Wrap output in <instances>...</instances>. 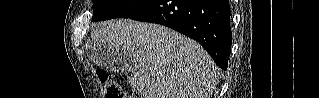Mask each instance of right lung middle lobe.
Masks as SVG:
<instances>
[{
	"instance_id": "obj_1",
	"label": "right lung middle lobe",
	"mask_w": 319,
	"mask_h": 98,
	"mask_svg": "<svg viewBox=\"0 0 319 98\" xmlns=\"http://www.w3.org/2000/svg\"><path fill=\"white\" fill-rule=\"evenodd\" d=\"M146 0H93V21L118 18Z\"/></svg>"
}]
</instances>
